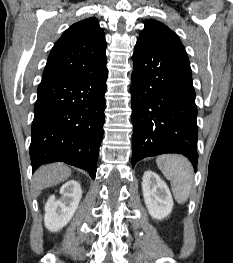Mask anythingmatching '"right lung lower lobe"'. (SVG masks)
Wrapping results in <instances>:
<instances>
[{
  "mask_svg": "<svg viewBox=\"0 0 233 263\" xmlns=\"http://www.w3.org/2000/svg\"><path fill=\"white\" fill-rule=\"evenodd\" d=\"M107 72L105 60L83 77L41 81L32 122V171L42 164L62 161L95 178Z\"/></svg>",
  "mask_w": 233,
  "mask_h": 263,
  "instance_id": "right-lung-lower-lobe-1",
  "label": "right lung lower lobe"
}]
</instances>
